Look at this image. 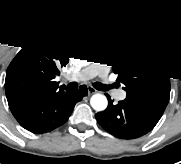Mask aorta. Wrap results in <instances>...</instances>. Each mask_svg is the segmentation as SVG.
<instances>
[{
    "label": "aorta",
    "mask_w": 181,
    "mask_h": 164,
    "mask_svg": "<svg viewBox=\"0 0 181 164\" xmlns=\"http://www.w3.org/2000/svg\"><path fill=\"white\" fill-rule=\"evenodd\" d=\"M74 61L81 66H86V65L90 64V62L81 61L79 59H74ZM90 105L96 111H102V110L106 109V107L108 105V101H107V98L105 97V95L96 93V94L92 95V97L90 98Z\"/></svg>",
    "instance_id": "762f6f07"
}]
</instances>
